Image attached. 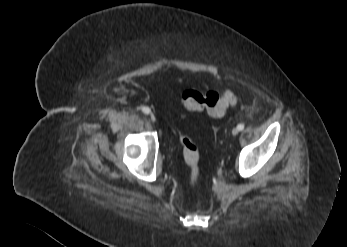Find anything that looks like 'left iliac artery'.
<instances>
[{"label":"left iliac artery","mask_w":347,"mask_h":247,"mask_svg":"<svg viewBox=\"0 0 347 247\" xmlns=\"http://www.w3.org/2000/svg\"><path fill=\"white\" fill-rule=\"evenodd\" d=\"M237 129L242 131L244 129V124H238Z\"/></svg>","instance_id":"left-iliac-artery-1"}]
</instances>
